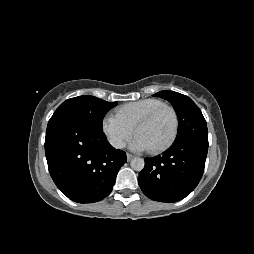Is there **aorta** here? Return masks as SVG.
<instances>
[{
	"label": "aorta",
	"instance_id": "762f6f07",
	"mask_svg": "<svg viewBox=\"0 0 254 254\" xmlns=\"http://www.w3.org/2000/svg\"><path fill=\"white\" fill-rule=\"evenodd\" d=\"M144 165H145L144 160L142 158H139V157L133 158L130 162L131 168L135 171L143 170Z\"/></svg>",
	"mask_w": 254,
	"mask_h": 254
}]
</instances>
